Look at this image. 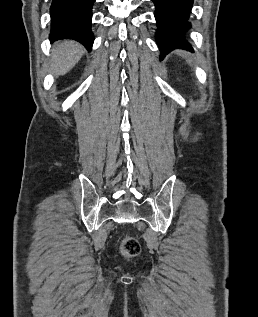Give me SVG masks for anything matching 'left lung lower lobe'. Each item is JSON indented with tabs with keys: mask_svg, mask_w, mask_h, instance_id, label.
Here are the masks:
<instances>
[{
	"mask_svg": "<svg viewBox=\"0 0 258 317\" xmlns=\"http://www.w3.org/2000/svg\"><path fill=\"white\" fill-rule=\"evenodd\" d=\"M155 5L157 42L160 59L174 49L193 51L184 34L190 29L188 22L193 0H152Z\"/></svg>",
	"mask_w": 258,
	"mask_h": 317,
	"instance_id": "0a47b994",
	"label": "left lung lower lobe"
}]
</instances>
